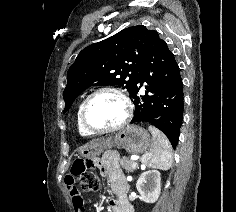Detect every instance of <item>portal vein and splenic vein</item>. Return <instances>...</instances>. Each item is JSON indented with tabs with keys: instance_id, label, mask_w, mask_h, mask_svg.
I'll list each match as a JSON object with an SVG mask.
<instances>
[{
	"instance_id": "18ae733b",
	"label": "portal vein and splenic vein",
	"mask_w": 236,
	"mask_h": 212,
	"mask_svg": "<svg viewBox=\"0 0 236 212\" xmlns=\"http://www.w3.org/2000/svg\"><path fill=\"white\" fill-rule=\"evenodd\" d=\"M137 159H139L138 156H131V160H137ZM133 167H135V164H133Z\"/></svg>"
}]
</instances>
